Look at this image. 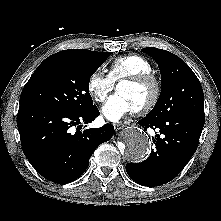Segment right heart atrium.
Here are the masks:
<instances>
[{
	"instance_id": "d8ad5b80",
	"label": "right heart atrium",
	"mask_w": 221,
	"mask_h": 221,
	"mask_svg": "<svg viewBox=\"0 0 221 221\" xmlns=\"http://www.w3.org/2000/svg\"><path fill=\"white\" fill-rule=\"evenodd\" d=\"M115 87L108 74L95 70L88 78L87 90L96 102H103Z\"/></svg>"
}]
</instances>
